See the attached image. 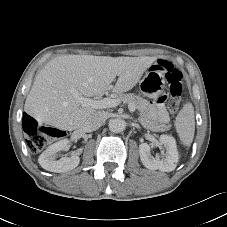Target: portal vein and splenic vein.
Segmentation results:
<instances>
[{"instance_id": "portal-vein-and-splenic-vein-1", "label": "portal vein and splenic vein", "mask_w": 227, "mask_h": 227, "mask_svg": "<svg viewBox=\"0 0 227 227\" xmlns=\"http://www.w3.org/2000/svg\"><path fill=\"white\" fill-rule=\"evenodd\" d=\"M71 92L83 107H91L94 109H105V108L116 107L121 103L119 99L104 98L101 100H93V99L81 96L76 90H71ZM128 109L131 113H133L136 107L134 104L130 103L128 104Z\"/></svg>"}]
</instances>
